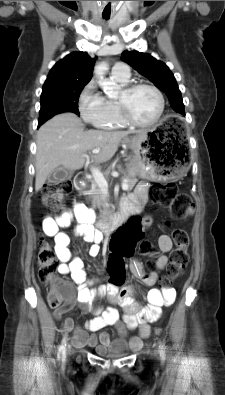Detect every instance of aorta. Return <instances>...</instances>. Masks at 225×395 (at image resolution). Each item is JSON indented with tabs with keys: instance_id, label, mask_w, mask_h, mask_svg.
<instances>
[{
	"instance_id": "aorta-1",
	"label": "aorta",
	"mask_w": 225,
	"mask_h": 395,
	"mask_svg": "<svg viewBox=\"0 0 225 395\" xmlns=\"http://www.w3.org/2000/svg\"><path fill=\"white\" fill-rule=\"evenodd\" d=\"M107 70H108V65L105 62H102L95 66L94 72L96 77L98 78V84L104 90L105 94L109 98H116L118 96V92L116 90L115 84L108 82L105 79V72Z\"/></svg>"
}]
</instances>
